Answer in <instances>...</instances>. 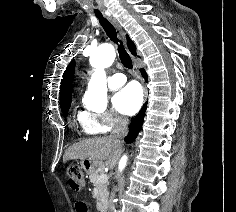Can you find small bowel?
<instances>
[{
	"label": "small bowel",
	"instance_id": "c3829d8e",
	"mask_svg": "<svg viewBox=\"0 0 236 212\" xmlns=\"http://www.w3.org/2000/svg\"><path fill=\"white\" fill-rule=\"evenodd\" d=\"M90 199H75L74 212H90Z\"/></svg>",
	"mask_w": 236,
	"mask_h": 212
}]
</instances>
